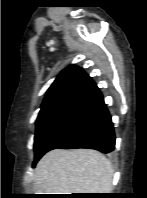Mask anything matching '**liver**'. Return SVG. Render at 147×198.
<instances>
[{
    "label": "liver",
    "mask_w": 147,
    "mask_h": 198,
    "mask_svg": "<svg viewBox=\"0 0 147 198\" xmlns=\"http://www.w3.org/2000/svg\"><path fill=\"white\" fill-rule=\"evenodd\" d=\"M113 167L92 149H55L46 153L35 168V182L44 194L110 193Z\"/></svg>",
    "instance_id": "liver-1"
}]
</instances>
